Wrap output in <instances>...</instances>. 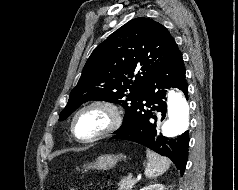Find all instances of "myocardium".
<instances>
[{
    "label": "myocardium",
    "mask_w": 238,
    "mask_h": 190,
    "mask_svg": "<svg viewBox=\"0 0 238 190\" xmlns=\"http://www.w3.org/2000/svg\"><path fill=\"white\" fill-rule=\"evenodd\" d=\"M92 109H99L104 111L108 116V124L103 130L99 131L98 133L92 136L82 137L77 133L76 122L83 113ZM122 121L123 114L117 104L108 100H94L83 105L75 112L71 121V131L74 137L80 142H94L114 133L121 126Z\"/></svg>",
    "instance_id": "1"
}]
</instances>
